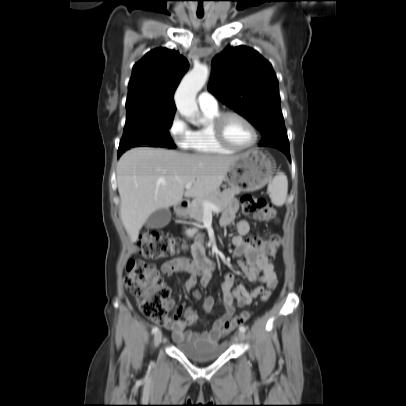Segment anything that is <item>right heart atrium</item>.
<instances>
[{"label":"right heart atrium","mask_w":406,"mask_h":406,"mask_svg":"<svg viewBox=\"0 0 406 406\" xmlns=\"http://www.w3.org/2000/svg\"><path fill=\"white\" fill-rule=\"evenodd\" d=\"M169 133L179 147L187 148L192 131L179 112H175L172 116L169 125Z\"/></svg>","instance_id":"right-heart-atrium-1"}]
</instances>
